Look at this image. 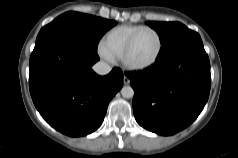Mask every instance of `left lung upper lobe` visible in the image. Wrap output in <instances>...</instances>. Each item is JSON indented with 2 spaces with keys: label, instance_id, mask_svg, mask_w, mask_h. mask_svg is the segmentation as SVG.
I'll return each instance as SVG.
<instances>
[{
  "label": "left lung upper lobe",
  "instance_id": "left-lung-upper-lobe-1",
  "mask_svg": "<svg viewBox=\"0 0 238 158\" xmlns=\"http://www.w3.org/2000/svg\"><path fill=\"white\" fill-rule=\"evenodd\" d=\"M159 34L162 44L159 55L170 51L180 44L200 38L199 34L179 22H147Z\"/></svg>",
  "mask_w": 238,
  "mask_h": 158
}]
</instances>
